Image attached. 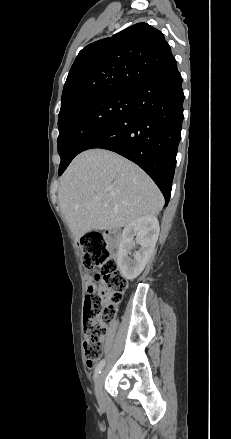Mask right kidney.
Segmentation results:
<instances>
[{
	"label": "right kidney",
	"mask_w": 231,
	"mask_h": 439,
	"mask_svg": "<svg viewBox=\"0 0 231 439\" xmlns=\"http://www.w3.org/2000/svg\"><path fill=\"white\" fill-rule=\"evenodd\" d=\"M159 231V222L155 216L140 217L124 228L117 255V265L126 279L133 280L144 270L154 251ZM134 236L140 248L133 253V259H131L128 255L133 246Z\"/></svg>",
	"instance_id": "obj_1"
}]
</instances>
